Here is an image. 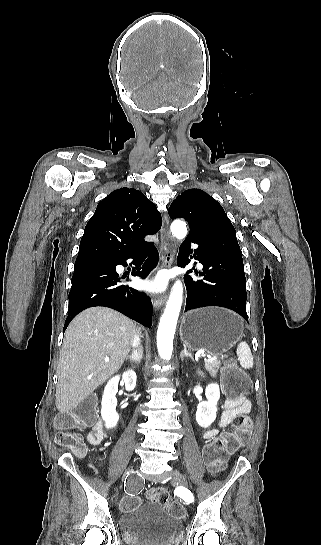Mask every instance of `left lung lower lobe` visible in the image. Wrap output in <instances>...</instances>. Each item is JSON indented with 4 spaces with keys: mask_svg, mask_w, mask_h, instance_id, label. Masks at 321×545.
<instances>
[{
    "mask_svg": "<svg viewBox=\"0 0 321 545\" xmlns=\"http://www.w3.org/2000/svg\"><path fill=\"white\" fill-rule=\"evenodd\" d=\"M192 244L199 247L192 249ZM192 258L203 265L201 275L204 278L194 280L189 275L185 276V311L221 306L237 312L248 322L246 278L234 227L216 226L190 232L180 246L178 265L185 267Z\"/></svg>",
    "mask_w": 321,
    "mask_h": 545,
    "instance_id": "0a47b994",
    "label": "left lung lower lobe"
}]
</instances>
